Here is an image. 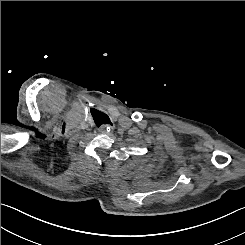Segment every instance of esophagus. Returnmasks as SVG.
<instances>
[{
  "mask_svg": "<svg viewBox=\"0 0 245 245\" xmlns=\"http://www.w3.org/2000/svg\"><path fill=\"white\" fill-rule=\"evenodd\" d=\"M110 129H113V127H112V126H109V125H104V126H102V127L100 128V131H101V132H107V131L110 130Z\"/></svg>",
  "mask_w": 245,
  "mask_h": 245,
  "instance_id": "1",
  "label": "esophagus"
}]
</instances>
